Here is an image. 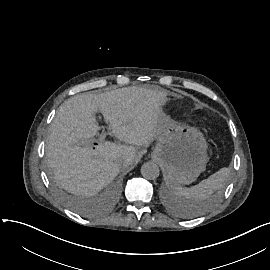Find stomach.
Listing matches in <instances>:
<instances>
[{
  "label": "stomach",
  "instance_id": "1",
  "mask_svg": "<svg viewBox=\"0 0 270 270\" xmlns=\"http://www.w3.org/2000/svg\"><path fill=\"white\" fill-rule=\"evenodd\" d=\"M156 140L157 145L151 152V158L163 166L170 184H190L205 171L208 162L207 145L196 128L165 120L159 127Z\"/></svg>",
  "mask_w": 270,
  "mask_h": 270
}]
</instances>
